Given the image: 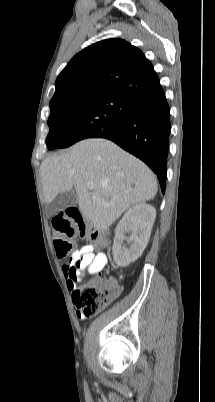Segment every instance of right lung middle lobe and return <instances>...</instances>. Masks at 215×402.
<instances>
[{"label": "right lung middle lobe", "instance_id": "dd1d6c3e", "mask_svg": "<svg viewBox=\"0 0 215 402\" xmlns=\"http://www.w3.org/2000/svg\"><path fill=\"white\" fill-rule=\"evenodd\" d=\"M134 102L113 94L63 97L50 101V150L69 147L114 127L131 111Z\"/></svg>", "mask_w": 215, "mask_h": 402}]
</instances>
